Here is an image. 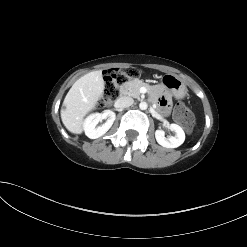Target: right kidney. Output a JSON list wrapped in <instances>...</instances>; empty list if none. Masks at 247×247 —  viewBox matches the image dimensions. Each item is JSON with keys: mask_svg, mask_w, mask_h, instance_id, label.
<instances>
[{"mask_svg": "<svg viewBox=\"0 0 247 247\" xmlns=\"http://www.w3.org/2000/svg\"><path fill=\"white\" fill-rule=\"evenodd\" d=\"M103 119H107V121L102 126L96 127ZM115 119L116 114L111 110L91 114L85 119L83 126L86 136L90 139H96L103 136L111 128Z\"/></svg>", "mask_w": 247, "mask_h": 247, "instance_id": "obj_1", "label": "right kidney"}]
</instances>
